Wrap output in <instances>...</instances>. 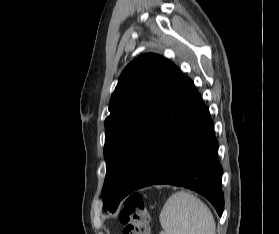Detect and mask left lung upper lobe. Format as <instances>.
<instances>
[{
	"label": "left lung upper lobe",
	"mask_w": 279,
	"mask_h": 234,
	"mask_svg": "<svg viewBox=\"0 0 279 234\" xmlns=\"http://www.w3.org/2000/svg\"><path fill=\"white\" fill-rule=\"evenodd\" d=\"M156 54H143L122 72L112 94L105 120L106 177L103 209L115 212L146 130L177 71Z\"/></svg>",
	"instance_id": "5c2ea615"
}]
</instances>
